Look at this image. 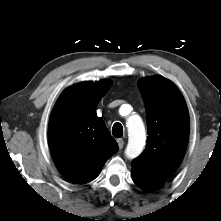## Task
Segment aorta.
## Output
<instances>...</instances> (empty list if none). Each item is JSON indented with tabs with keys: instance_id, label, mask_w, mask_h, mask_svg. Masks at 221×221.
Wrapping results in <instances>:
<instances>
[{
	"instance_id": "obj_1",
	"label": "aorta",
	"mask_w": 221,
	"mask_h": 221,
	"mask_svg": "<svg viewBox=\"0 0 221 221\" xmlns=\"http://www.w3.org/2000/svg\"><path fill=\"white\" fill-rule=\"evenodd\" d=\"M128 144L125 155L129 159L138 157L144 149L146 132L142 119L138 115L130 116L127 120Z\"/></svg>"
}]
</instances>
